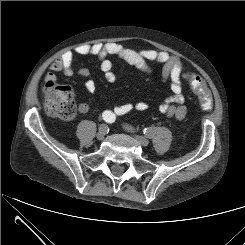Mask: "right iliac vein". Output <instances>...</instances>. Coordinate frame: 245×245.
Listing matches in <instances>:
<instances>
[{
	"label": "right iliac vein",
	"mask_w": 245,
	"mask_h": 245,
	"mask_svg": "<svg viewBox=\"0 0 245 245\" xmlns=\"http://www.w3.org/2000/svg\"><path fill=\"white\" fill-rule=\"evenodd\" d=\"M105 136V132L102 129V126L99 127V131L97 133V139L98 140H103Z\"/></svg>",
	"instance_id": "1"
}]
</instances>
